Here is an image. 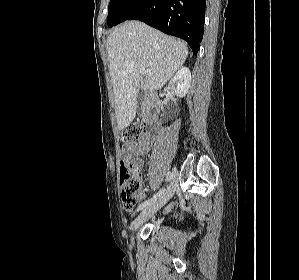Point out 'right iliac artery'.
<instances>
[{
    "label": "right iliac artery",
    "instance_id": "obj_1",
    "mask_svg": "<svg viewBox=\"0 0 299 280\" xmlns=\"http://www.w3.org/2000/svg\"><path fill=\"white\" fill-rule=\"evenodd\" d=\"M173 174L171 172H167L166 174V181L169 182L172 179ZM165 191V188H162L159 192H157V194H155L152 198L144 201L143 203H141L139 205V207L137 208V211L142 210L143 208H146L147 206H149L150 204H152L153 202H155Z\"/></svg>",
    "mask_w": 299,
    "mask_h": 280
}]
</instances>
